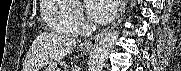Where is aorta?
Listing matches in <instances>:
<instances>
[{"label":"aorta","mask_w":181,"mask_h":71,"mask_svg":"<svg viewBox=\"0 0 181 71\" xmlns=\"http://www.w3.org/2000/svg\"><path fill=\"white\" fill-rule=\"evenodd\" d=\"M119 34V31H112L100 39L89 59L88 71H103L108 56L113 50Z\"/></svg>","instance_id":"762f6f07"}]
</instances>
